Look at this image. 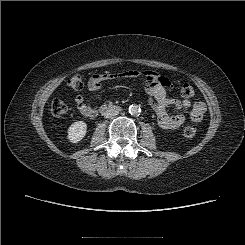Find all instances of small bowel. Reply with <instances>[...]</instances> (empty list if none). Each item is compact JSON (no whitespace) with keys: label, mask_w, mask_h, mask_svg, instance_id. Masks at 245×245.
I'll use <instances>...</instances> for the list:
<instances>
[{"label":"small bowel","mask_w":245,"mask_h":245,"mask_svg":"<svg viewBox=\"0 0 245 245\" xmlns=\"http://www.w3.org/2000/svg\"><path fill=\"white\" fill-rule=\"evenodd\" d=\"M120 78H143L145 80L147 101L156 115L160 128L163 130H175L181 127L186 121V117L181 113L182 111H188V118L193 122H200L205 115L206 105L201 101L192 102L188 98L179 100L168 97L167 91L173 87L171 81L165 76L150 70L94 74L89 78L88 88L95 91L99 89L102 82ZM75 104L79 112L85 117L93 118L96 116V109L86 102L82 96L78 95L75 98ZM168 108H173L177 113L169 114Z\"/></svg>","instance_id":"small-bowel-1"}]
</instances>
